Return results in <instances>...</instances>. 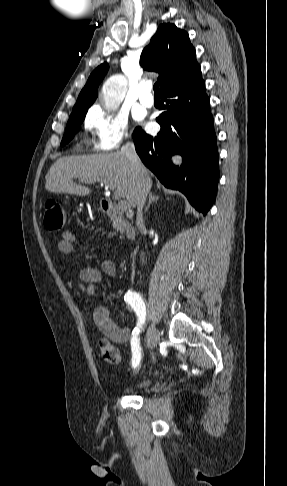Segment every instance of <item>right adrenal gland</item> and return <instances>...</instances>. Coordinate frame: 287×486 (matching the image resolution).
Returning <instances> with one entry per match:
<instances>
[{
  "instance_id": "obj_1",
  "label": "right adrenal gland",
  "mask_w": 287,
  "mask_h": 486,
  "mask_svg": "<svg viewBox=\"0 0 287 486\" xmlns=\"http://www.w3.org/2000/svg\"><path fill=\"white\" fill-rule=\"evenodd\" d=\"M158 199H159V197H158V196L153 195V193H152V192H150V194H149V200H148L147 206L145 207V212H147V211H148V209H149V207H150L151 203H152V202H154V201H155V202H157V201H158Z\"/></svg>"
}]
</instances>
